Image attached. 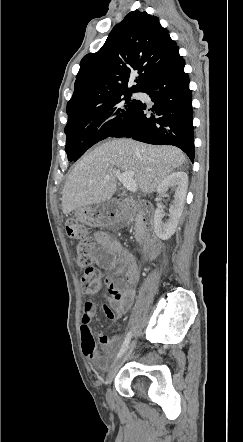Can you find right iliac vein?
<instances>
[{
    "instance_id": "1",
    "label": "right iliac vein",
    "mask_w": 243,
    "mask_h": 442,
    "mask_svg": "<svg viewBox=\"0 0 243 442\" xmlns=\"http://www.w3.org/2000/svg\"><path fill=\"white\" fill-rule=\"evenodd\" d=\"M135 345H136V342L134 340L127 347V349L125 350L123 355L120 357V359L113 364V366L111 367V369H110V371H109V373H108V375L106 377V384L108 386L107 391H106V400L110 404L113 403V397H112V392H111V389H110L109 385L113 381V378L115 377V375H116L117 371L119 370L121 364L130 357L131 353L133 352V350L135 348Z\"/></svg>"
}]
</instances>
